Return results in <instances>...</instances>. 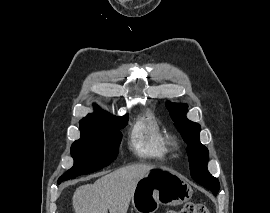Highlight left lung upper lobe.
<instances>
[{
  "mask_svg": "<svg viewBox=\"0 0 270 213\" xmlns=\"http://www.w3.org/2000/svg\"><path fill=\"white\" fill-rule=\"evenodd\" d=\"M172 120L176 123L184 141L187 143L191 177L200 185L211 190L215 195L219 191V181L213 177L208 169V149L200 143V125L186 118L187 106L167 102Z\"/></svg>",
  "mask_w": 270,
  "mask_h": 213,
  "instance_id": "obj_1",
  "label": "left lung upper lobe"
}]
</instances>
